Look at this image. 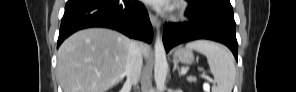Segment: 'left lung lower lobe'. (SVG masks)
Instances as JSON below:
<instances>
[{"mask_svg":"<svg viewBox=\"0 0 296 92\" xmlns=\"http://www.w3.org/2000/svg\"><path fill=\"white\" fill-rule=\"evenodd\" d=\"M185 15L190 21L167 23L163 28V41L166 51L172 47L195 39H210L225 44L230 48L236 60L238 43L233 9L226 2L189 1Z\"/></svg>","mask_w":296,"mask_h":92,"instance_id":"left-lung-lower-lobe-1","label":"left lung lower lobe"}]
</instances>
